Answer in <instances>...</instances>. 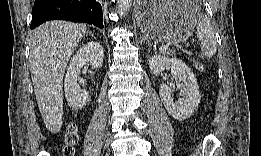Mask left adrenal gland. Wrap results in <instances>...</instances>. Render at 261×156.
<instances>
[{"mask_svg": "<svg viewBox=\"0 0 261 156\" xmlns=\"http://www.w3.org/2000/svg\"><path fill=\"white\" fill-rule=\"evenodd\" d=\"M144 42H146V43L149 44V41H148V39H147L145 36H143V37L141 38V40H140V43H141V44L144 43Z\"/></svg>", "mask_w": 261, "mask_h": 156, "instance_id": "a2214340", "label": "left adrenal gland"}]
</instances>
